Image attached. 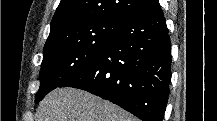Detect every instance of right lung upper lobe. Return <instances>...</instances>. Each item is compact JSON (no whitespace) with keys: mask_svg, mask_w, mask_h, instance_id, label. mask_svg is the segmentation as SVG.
I'll use <instances>...</instances> for the list:
<instances>
[{"mask_svg":"<svg viewBox=\"0 0 217 121\" xmlns=\"http://www.w3.org/2000/svg\"><path fill=\"white\" fill-rule=\"evenodd\" d=\"M153 0H61L51 21L47 43L82 23L97 20L125 22Z\"/></svg>","mask_w":217,"mask_h":121,"instance_id":"right-lung-upper-lobe-1","label":"right lung upper lobe"}]
</instances>
